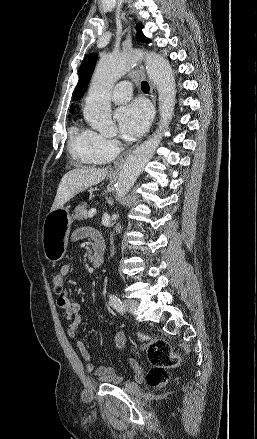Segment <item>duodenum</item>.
Returning a JSON list of instances; mask_svg holds the SVG:
<instances>
[{
    "label": "duodenum",
    "mask_w": 257,
    "mask_h": 439,
    "mask_svg": "<svg viewBox=\"0 0 257 439\" xmlns=\"http://www.w3.org/2000/svg\"><path fill=\"white\" fill-rule=\"evenodd\" d=\"M105 253V243L102 240L94 242L91 261L95 267H100L103 264Z\"/></svg>",
    "instance_id": "duodenum-1"
}]
</instances>
